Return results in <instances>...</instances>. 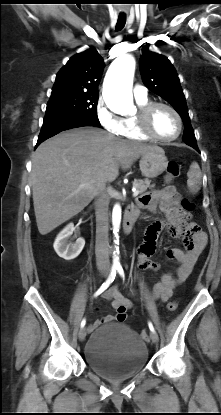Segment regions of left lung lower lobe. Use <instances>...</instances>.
<instances>
[{
    "label": "left lung lower lobe",
    "mask_w": 221,
    "mask_h": 415,
    "mask_svg": "<svg viewBox=\"0 0 221 415\" xmlns=\"http://www.w3.org/2000/svg\"><path fill=\"white\" fill-rule=\"evenodd\" d=\"M187 145L193 147L194 149H196L199 152V149L197 147V143L196 142L195 143H188Z\"/></svg>",
    "instance_id": "1"
}]
</instances>
